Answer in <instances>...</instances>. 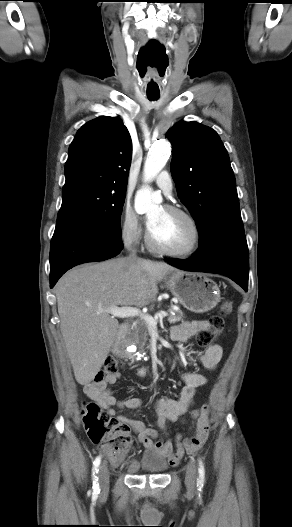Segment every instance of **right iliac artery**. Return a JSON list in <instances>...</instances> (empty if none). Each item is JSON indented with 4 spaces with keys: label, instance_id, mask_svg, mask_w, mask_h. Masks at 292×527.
Masks as SVG:
<instances>
[{
    "label": "right iliac artery",
    "instance_id": "obj_1",
    "mask_svg": "<svg viewBox=\"0 0 292 527\" xmlns=\"http://www.w3.org/2000/svg\"><path fill=\"white\" fill-rule=\"evenodd\" d=\"M100 462H101V457L98 456L94 462H93V491L94 493H99L100 492V487H99V483H98V477L96 476V473L98 472V467L100 465Z\"/></svg>",
    "mask_w": 292,
    "mask_h": 527
}]
</instances>
